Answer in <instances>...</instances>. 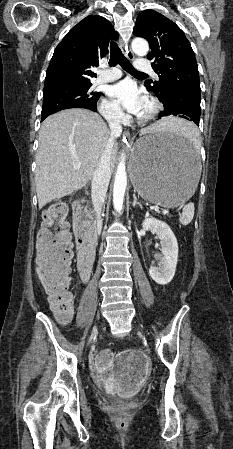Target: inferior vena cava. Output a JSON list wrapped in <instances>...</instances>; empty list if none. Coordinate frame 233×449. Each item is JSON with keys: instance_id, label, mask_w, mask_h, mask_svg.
Masks as SVG:
<instances>
[{"instance_id": "602c4592", "label": "inferior vena cava", "mask_w": 233, "mask_h": 449, "mask_svg": "<svg viewBox=\"0 0 233 449\" xmlns=\"http://www.w3.org/2000/svg\"><path fill=\"white\" fill-rule=\"evenodd\" d=\"M108 122L111 131L110 137L107 141L103 154L101 155L97 168L93 173L91 185L92 186L91 196L95 208L96 227L98 233H100L102 229L101 211L105 203L106 193L111 178V168H110L111 150L116 137L120 136L122 132L119 115L113 116L112 118L109 119Z\"/></svg>"}]
</instances>
